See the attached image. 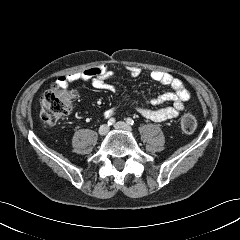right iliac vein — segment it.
Here are the masks:
<instances>
[{"label":"right iliac vein","instance_id":"right-iliac-vein-1","mask_svg":"<svg viewBox=\"0 0 240 240\" xmlns=\"http://www.w3.org/2000/svg\"><path fill=\"white\" fill-rule=\"evenodd\" d=\"M109 131V126L104 124V125H101L100 128H99V134L101 136H105Z\"/></svg>","mask_w":240,"mask_h":240}]
</instances>
